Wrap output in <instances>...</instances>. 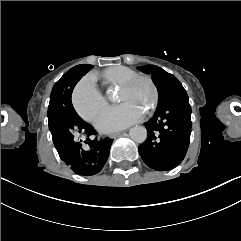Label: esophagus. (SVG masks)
Listing matches in <instances>:
<instances>
[{
    "mask_svg": "<svg viewBox=\"0 0 241 241\" xmlns=\"http://www.w3.org/2000/svg\"><path fill=\"white\" fill-rule=\"evenodd\" d=\"M122 133H123V132H115V133H113V134H110V135H109V138L114 139V138H116V137H118V136H121Z\"/></svg>",
    "mask_w": 241,
    "mask_h": 241,
    "instance_id": "34e87169",
    "label": "esophagus"
}]
</instances>
